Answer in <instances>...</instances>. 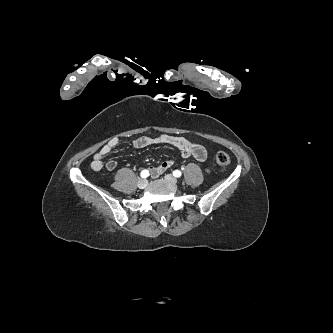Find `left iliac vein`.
Returning <instances> with one entry per match:
<instances>
[{
	"label": "left iliac vein",
	"instance_id": "1",
	"mask_svg": "<svg viewBox=\"0 0 333 333\" xmlns=\"http://www.w3.org/2000/svg\"><path fill=\"white\" fill-rule=\"evenodd\" d=\"M164 178H165V180H167L168 182H171L173 184L177 183V179L173 175H171V174L165 175Z\"/></svg>",
	"mask_w": 333,
	"mask_h": 333
}]
</instances>
